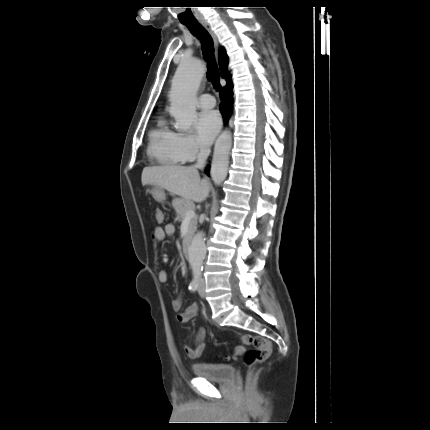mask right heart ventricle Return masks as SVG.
I'll return each instance as SVG.
<instances>
[{"instance_id": "right-heart-ventricle-1", "label": "right heart ventricle", "mask_w": 430, "mask_h": 430, "mask_svg": "<svg viewBox=\"0 0 430 430\" xmlns=\"http://www.w3.org/2000/svg\"><path fill=\"white\" fill-rule=\"evenodd\" d=\"M177 134L164 118H159L155 127L149 132L147 153L155 162L176 166L184 162L177 148Z\"/></svg>"}]
</instances>
